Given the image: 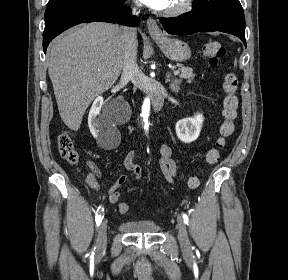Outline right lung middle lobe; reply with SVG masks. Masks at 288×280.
<instances>
[{"instance_id":"dd1d6c3e","label":"right lung middle lobe","mask_w":288,"mask_h":280,"mask_svg":"<svg viewBox=\"0 0 288 280\" xmlns=\"http://www.w3.org/2000/svg\"><path fill=\"white\" fill-rule=\"evenodd\" d=\"M51 1V0H50ZM111 1H114V2H119V1H121V0H111Z\"/></svg>"}]
</instances>
